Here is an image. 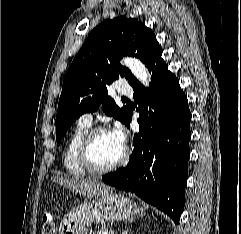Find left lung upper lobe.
I'll return each instance as SVG.
<instances>
[{
  "label": "left lung upper lobe",
  "mask_w": 241,
  "mask_h": 234,
  "mask_svg": "<svg viewBox=\"0 0 241 234\" xmlns=\"http://www.w3.org/2000/svg\"><path fill=\"white\" fill-rule=\"evenodd\" d=\"M161 49L156 36L137 19L125 16L100 23L88 36L68 69L56 115V140L60 144L71 124L82 114L101 106L108 116L126 124L130 111L107 96V85L119 76L129 84L136 78L120 64L123 56L139 58L145 65Z\"/></svg>",
  "instance_id": "obj_1"
}]
</instances>
